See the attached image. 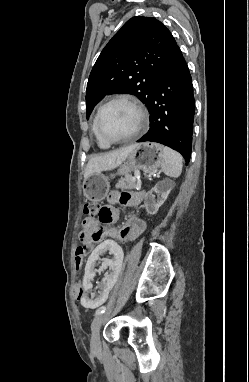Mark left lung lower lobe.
Wrapping results in <instances>:
<instances>
[{
    "label": "left lung lower lobe",
    "instance_id": "0a47b994",
    "mask_svg": "<svg viewBox=\"0 0 249 382\" xmlns=\"http://www.w3.org/2000/svg\"><path fill=\"white\" fill-rule=\"evenodd\" d=\"M192 78L177 46L161 74L147 106L150 129L138 142H157L180 152L190 161L195 110Z\"/></svg>",
    "mask_w": 249,
    "mask_h": 382
}]
</instances>
